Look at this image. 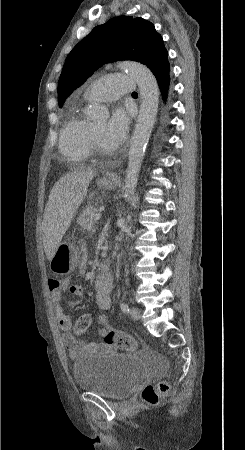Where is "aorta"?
<instances>
[{
	"mask_svg": "<svg viewBox=\"0 0 245 450\" xmlns=\"http://www.w3.org/2000/svg\"><path fill=\"white\" fill-rule=\"evenodd\" d=\"M118 66L135 79L141 95L140 111L131 138L125 177V197L129 199L137 186L145 149L156 120L159 89L154 75L146 66L131 61L120 62ZM90 115L94 120H104L108 117V110L102 105H93Z\"/></svg>",
	"mask_w": 245,
	"mask_h": 450,
	"instance_id": "obj_1",
	"label": "aorta"
}]
</instances>
